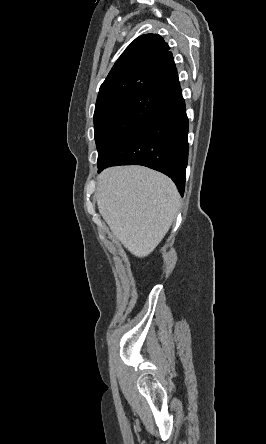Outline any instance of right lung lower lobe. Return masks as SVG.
Masks as SVG:
<instances>
[{"label": "right lung lower lobe", "instance_id": "obj_1", "mask_svg": "<svg viewBox=\"0 0 266 444\" xmlns=\"http://www.w3.org/2000/svg\"><path fill=\"white\" fill-rule=\"evenodd\" d=\"M188 118L182 95L165 103L122 141L99 172L116 165H143L169 176L183 196L188 161Z\"/></svg>", "mask_w": 266, "mask_h": 444}]
</instances>
